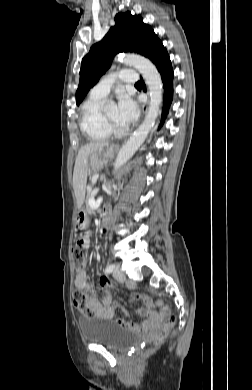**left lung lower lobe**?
Returning a JSON list of instances; mask_svg holds the SVG:
<instances>
[{
    "label": "left lung lower lobe",
    "instance_id": "obj_1",
    "mask_svg": "<svg viewBox=\"0 0 252 390\" xmlns=\"http://www.w3.org/2000/svg\"><path fill=\"white\" fill-rule=\"evenodd\" d=\"M148 59L156 65L163 82L164 98L160 123V126H162L173 100V69L167 50L161 41L152 48Z\"/></svg>",
    "mask_w": 252,
    "mask_h": 390
}]
</instances>
